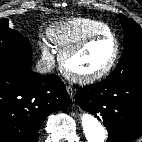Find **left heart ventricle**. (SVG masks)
Returning <instances> with one entry per match:
<instances>
[{"instance_id":"left-heart-ventricle-1","label":"left heart ventricle","mask_w":142,"mask_h":142,"mask_svg":"<svg viewBox=\"0 0 142 142\" xmlns=\"http://www.w3.org/2000/svg\"><path fill=\"white\" fill-rule=\"evenodd\" d=\"M115 50L113 41L99 40L68 61V67L80 74H90L102 69L111 60Z\"/></svg>"}]
</instances>
